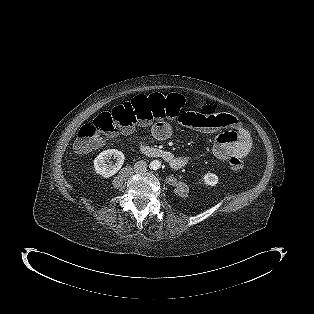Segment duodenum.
<instances>
[{
  "mask_svg": "<svg viewBox=\"0 0 314 314\" xmlns=\"http://www.w3.org/2000/svg\"><path fill=\"white\" fill-rule=\"evenodd\" d=\"M138 148L146 155L151 157H158L166 162H168L171 166H174L178 163V158L173 155L170 151L156 148L147 144H139Z\"/></svg>",
  "mask_w": 314,
  "mask_h": 314,
  "instance_id": "obj_1",
  "label": "duodenum"
}]
</instances>
